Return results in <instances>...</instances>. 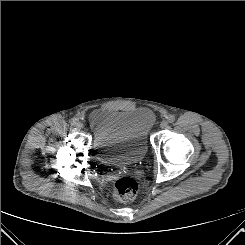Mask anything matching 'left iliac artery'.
<instances>
[{
	"label": "left iliac artery",
	"instance_id": "obj_1",
	"mask_svg": "<svg viewBox=\"0 0 245 245\" xmlns=\"http://www.w3.org/2000/svg\"><path fill=\"white\" fill-rule=\"evenodd\" d=\"M167 120H168L169 123H173L175 121V116L174 115H169L167 117Z\"/></svg>",
	"mask_w": 245,
	"mask_h": 245
}]
</instances>
